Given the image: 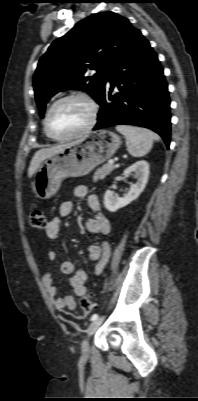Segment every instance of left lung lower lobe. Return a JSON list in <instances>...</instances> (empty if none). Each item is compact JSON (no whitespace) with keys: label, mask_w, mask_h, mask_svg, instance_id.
Segmentation results:
<instances>
[{"label":"left lung lower lobe","mask_w":198,"mask_h":401,"mask_svg":"<svg viewBox=\"0 0 198 401\" xmlns=\"http://www.w3.org/2000/svg\"><path fill=\"white\" fill-rule=\"evenodd\" d=\"M98 103L101 108L93 130L121 124L142 126L158 133L169 147L167 83L156 52L139 30L112 67Z\"/></svg>","instance_id":"0a47b994"}]
</instances>
